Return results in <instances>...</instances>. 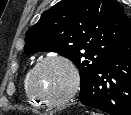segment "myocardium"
Returning a JSON list of instances; mask_svg holds the SVG:
<instances>
[{"mask_svg":"<svg viewBox=\"0 0 131 115\" xmlns=\"http://www.w3.org/2000/svg\"><path fill=\"white\" fill-rule=\"evenodd\" d=\"M49 62H60L64 64L71 73V84L68 90L59 98H47L42 96L41 94L37 93L34 88V76L38 69L46 63ZM80 72L75 65V63L68 57L60 54H52L45 56L44 58L40 59L33 68L29 71L28 74V81L27 86L30 94L37 99L41 104L50 106V107H58L66 102H68L78 91L80 87Z\"/></svg>","mask_w":131,"mask_h":115,"instance_id":"f54148a6","label":"myocardium"}]
</instances>
